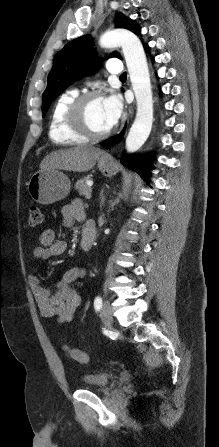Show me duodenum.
I'll return each instance as SVG.
<instances>
[{
  "mask_svg": "<svg viewBox=\"0 0 219 447\" xmlns=\"http://www.w3.org/2000/svg\"><path fill=\"white\" fill-rule=\"evenodd\" d=\"M96 234L95 223L91 220H86L82 232V249L88 251L94 241Z\"/></svg>",
  "mask_w": 219,
  "mask_h": 447,
  "instance_id": "410a0bca",
  "label": "duodenum"
}]
</instances>
